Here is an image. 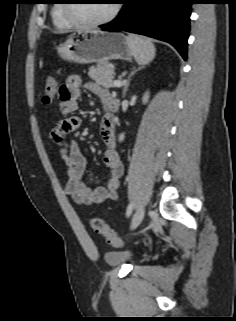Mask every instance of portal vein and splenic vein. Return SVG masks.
Returning <instances> with one entry per match:
<instances>
[{
	"mask_svg": "<svg viewBox=\"0 0 236 321\" xmlns=\"http://www.w3.org/2000/svg\"><path fill=\"white\" fill-rule=\"evenodd\" d=\"M124 83H125V81H120V80L114 81V84H115L116 87H120Z\"/></svg>",
	"mask_w": 236,
	"mask_h": 321,
	"instance_id": "obj_1",
	"label": "portal vein and splenic vein"
}]
</instances>
